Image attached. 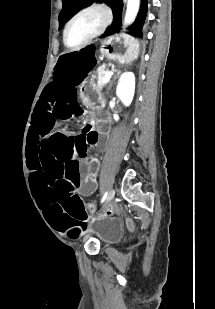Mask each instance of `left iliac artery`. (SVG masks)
I'll return each mask as SVG.
<instances>
[{
  "label": "left iliac artery",
  "instance_id": "left-iliac-artery-1",
  "mask_svg": "<svg viewBox=\"0 0 215 309\" xmlns=\"http://www.w3.org/2000/svg\"><path fill=\"white\" fill-rule=\"evenodd\" d=\"M107 196H108V190L102 196L101 203H103L107 199Z\"/></svg>",
  "mask_w": 215,
  "mask_h": 309
}]
</instances>
